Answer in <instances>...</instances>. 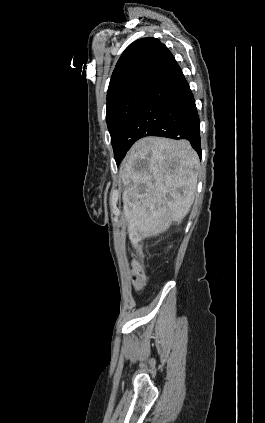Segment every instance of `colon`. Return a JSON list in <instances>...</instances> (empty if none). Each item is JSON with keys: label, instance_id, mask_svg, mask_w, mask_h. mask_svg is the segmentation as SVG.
<instances>
[{"label": "colon", "instance_id": "obj_1", "mask_svg": "<svg viewBox=\"0 0 265 423\" xmlns=\"http://www.w3.org/2000/svg\"><path fill=\"white\" fill-rule=\"evenodd\" d=\"M133 283L137 290L143 289L146 284V275L140 265L136 267L133 275Z\"/></svg>", "mask_w": 265, "mask_h": 423}]
</instances>
